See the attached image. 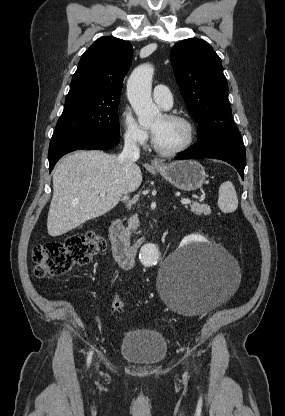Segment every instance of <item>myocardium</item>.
I'll return each mask as SVG.
<instances>
[{"label": "myocardium", "mask_w": 285, "mask_h": 416, "mask_svg": "<svg viewBox=\"0 0 285 416\" xmlns=\"http://www.w3.org/2000/svg\"><path fill=\"white\" fill-rule=\"evenodd\" d=\"M165 118L176 121V122H180L182 123L187 131V139L185 141V143L183 145H181L178 148L175 149H171V150H165L160 148L155 139L153 138V147L155 149V151L162 156L165 157H174V156H178L180 154H183L184 152H186L187 150H189L191 148V146L194 143V139H195V129H194V125L192 124V122L190 121L189 118H187L184 115H181L179 113H165L163 114Z\"/></svg>", "instance_id": "myocardium-1"}]
</instances>
